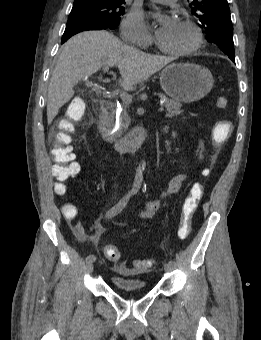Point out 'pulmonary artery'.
Here are the masks:
<instances>
[{"instance_id":"obj_1","label":"pulmonary artery","mask_w":261,"mask_h":340,"mask_svg":"<svg viewBox=\"0 0 261 340\" xmlns=\"http://www.w3.org/2000/svg\"><path fill=\"white\" fill-rule=\"evenodd\" d=\"M151 1L161 3V4H168V3H172L176 0H151Z\"/></svg>"}]
</instances>
